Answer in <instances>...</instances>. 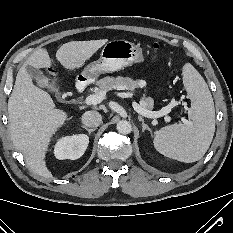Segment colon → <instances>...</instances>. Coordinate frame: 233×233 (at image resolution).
<instances>
[{
  "instance_id": "1",
  "label": "colon",
  "mask_w": 233,
  "mask_h": 233,
  "mask_svg": "<svg viewBox=\"0 0 233 233\" xmlns=\"http://www.w3.org/2000/svg\"><path fill=\"white\" fill-rule=\"evenodd\" d=\"M151 49L158 50L160 47V44L158 42H153L150 44Z\"/></svg>"
}]
</instances>
